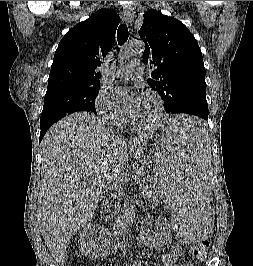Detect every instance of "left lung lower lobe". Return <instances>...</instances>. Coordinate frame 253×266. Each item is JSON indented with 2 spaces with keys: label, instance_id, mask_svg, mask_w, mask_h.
Listing matches in <instances>:
<instances>
[{
  "label": "left lung lower lobe",
  "instance_id": "obj_1",
  "mask_svg": "<svg viewBox=\"0 0 253 266\" xmlns=\"http://www.w3.org/2000/svg\"><path fill=\"white\" fill-rule=\"evenodd\" d=\"M202 124H203V122H201V121H198V120L194 121V126L196 128H200L202 126Z\"/></svg>",
  "mask_w": 253,
  "mask_h": 266
}]
</instances>
